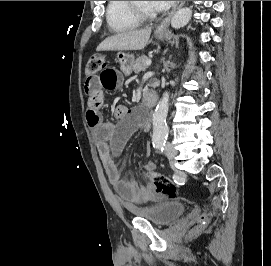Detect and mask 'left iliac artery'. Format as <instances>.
I'll return each instance as SVG.
<instances>
[{
  "label": "left iliac artery",
  "mask_w": 271,
  "mask_h": 266,
  "mask_svg": "<svg viewBox=\"0 0 271 266\" xmlns=\"http://www.w3.org/2000/svg\"><path fill=\"white\" fill-rule=\"evenodd\" d=\"M164 146H165V141H163L162 143H161V145H160V150H161V152H163V150H164Z\"/></svg>",
  "instance_id": "1"
}]
</instances>
